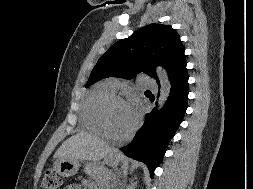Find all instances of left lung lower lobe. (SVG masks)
Instances as JSON below:
<instances>
[{
    "label": "left lung lower lobe",
    "mask_w": 253,
    "mask_h": 189,
    "mask_svg": "<svg viewBox=\"0 0 253 189\" xmlns=\"http://www.w3.org/2000/svg\"><path fill=\"white\" fill-rule=\"evenodd\" d=\"M186 64L185 60L170 77V96L162 109L157 111L154 108L147 114L144 126L136 133L133 141L121 148L127 156L144 162L151 177L187 109L189 91Z\"/></svg>",
    "instance_id": "obj_1"
}]
</instances>
